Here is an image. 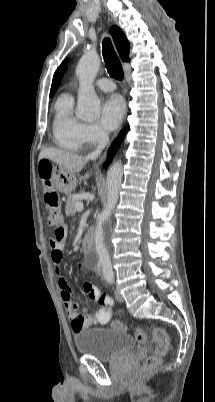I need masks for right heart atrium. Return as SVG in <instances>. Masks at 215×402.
I'll list each match as a JSON object with an SVG mask.
<instances>
[{
	"instance_id": "1",
	"label": "right heart atrium",
	"mask_w": 215,
	"mask_h": 402,
	"mask_svg": "<svg viewBox=\"0 0 215 402\" xmlns=\"http://www.w3.org/2000/svg\"><path fill=\"white\" fill-rule=\"evenodd\" d=\"M106 137L105 132L93 123H82L80 127V139L83 144L95 145L103 141Z\"/></svg>"
}]
</instances>
